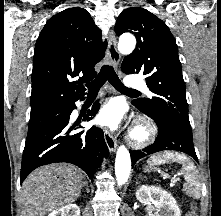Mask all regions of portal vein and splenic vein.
<instances>
[{"label":"portal vein and splenic vein","instance_id":"portal-vein-and-splenic-vein-1","mask_svg":"<svg viewBox=\"0 0 221 216\" xmlns=\"http://www.w3.org/2000/svg\"><path fill=\"white\" fill-rule=\"evenodd\" d=\"M164 178H167V177H164ZM172 181L175 182V181H177V179L173 178Z\"/></svg>","mask_w":221,"mask_h":216}]
</instances>
